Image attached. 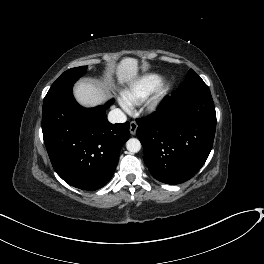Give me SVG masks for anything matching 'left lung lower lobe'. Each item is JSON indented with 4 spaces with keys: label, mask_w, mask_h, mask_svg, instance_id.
Returning a JSON list of instances; mask_svg holds the SVG:
<instances>
[{
    "label": "left lung lower lobe",
    "mask_w": 264,
    "mask_h": 264,
    "mask_svg": "<svg viewBox=\"0 0 264 264\" xmlns=\"http://www.w3.org/2000/svg\"><path fill=\"white\" fill-rule=\"evenodd\" d=\"M136 122L144 162L160 182L189 180L212 149L216 112L207 85L178 89L166 97L156 113Z\"/></svg>",
    "instance_id": "obj_1"
}]
</instances>
